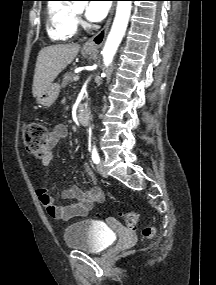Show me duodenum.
<instances>
[{"label":"duodenum","instance_id":"1","mask_svg":"<svg viewBox=\"0 0 216 285\" xmlns=\"http://www.w3.org/2000/svg\"><path fill=\"white\" fill-rule=\"evenodd\" d=\"M91 114L90 111L86 108H82L78 113L79 122L82 125H88L90 122Z\"/></svg>","mask_w":216,"mask_h":285}]
</instances>
